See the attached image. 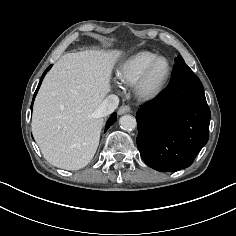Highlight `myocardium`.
I'll list each match as a JSON object with an SVG mask.
<instances>
[{"label": "myocardium", "instance_id": "myocardium-1", "mask_svg": "<svg viewBox=\"0 0 236 236\" xmlns=\"http://www.w3.org/2000/svg\"><path fill=\"white\" fill-rule=\"evenodd\" d=\"M160 62L166 63V72L160 81V83L154 88L149 87V80L153 70ZM172 75V66L168 59L164 57L156 58L140 75V77L135 82V93L136 95L145 101H152L159 98L166 90Z\"/></svg>", "mask_w": 236, "mask_h": 236}]
</instances>
